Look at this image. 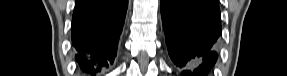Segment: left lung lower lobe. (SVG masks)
I'll return each instance as SVG.
<instances>
[{"label": "left lung lower lobe", "instance_id": "obj_1", "mask_svg": "<svg viewBox=\"0 0 287 76\" xmlns=\"http://www.w3.org/2000/svg\"><path fill=\"white\" fill-rule=\"evenodd\" d=\"M161 16L172 62L183 76H207L221 36L218 0H161Z\"/></svg>", "mask_w": 287, "mask_h": 76}]
</instances>
